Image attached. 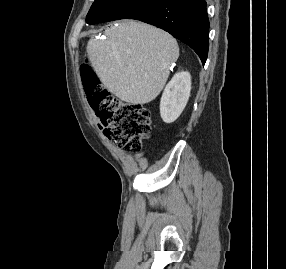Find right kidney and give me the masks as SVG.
<instances>
[{"instance_id":"right-kidney-1","label":"right kidney","mask_w":286,"mask_h":269,"mask_svg":"<svg viewBox=\"0 0 286 269\" xmlns=\"http://www.w3.org/2000/svg\"><path fill=\"white\" fill-rule=\"evenodd\" d=\"M190 91V73H176L166 85L161 97L160 115L165 123H172L180 116L188 102Z\"/></svg>"}]
</instances>
